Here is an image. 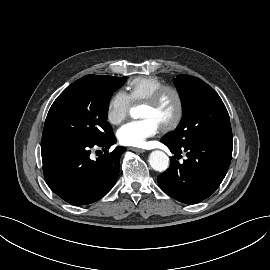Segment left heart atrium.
Wrapping results in <instances>:
<instances>
[{
    "label": "left heart atrium",
    "instance_id": "obj_1",
    "mask_svg": "<svg viewBox=\"0 0 270 270\" xmlns=\"http://www.w3.org/2000/svg\"><path fill=\"white\" fill-rule=\"evenodd\" d=\"M160 128L153 118L148 117L124 124L119 128L117 136L123 145L140 147L148 138L156 135Z\"/></svg>",
    "mask_w": 270,
    "mask_h": 270
}]
</instances>
